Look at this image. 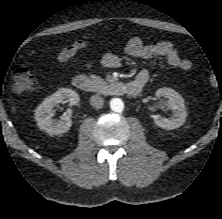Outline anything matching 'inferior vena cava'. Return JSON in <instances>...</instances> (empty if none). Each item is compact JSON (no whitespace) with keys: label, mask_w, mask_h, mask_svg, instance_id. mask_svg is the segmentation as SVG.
Wrapping results in <instances>:
<instances>
[{"label":"inferior vena cava","mask_w":222,"mask_h":219,"mask_svg":"<svg viewBox=\"0 0 222 219\" xmlns=\"http://www.w3.org/2000/svg\"><path fill=\"white\" fill-rule=\"evenodd\" d=\"M90 104L95 109H100L104 105V100L100 95H93L90 98Z\"/></svg>","instance_id":"1"}]
</instances>
